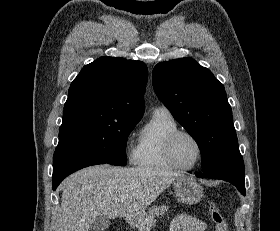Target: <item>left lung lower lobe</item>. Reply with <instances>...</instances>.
Returning <instances> with one entry per match:
<instances>
[{
    "label": "left lung lower lobe",
    "instance_id": "left-lung-lower-lobe-1",
    "mask_svg": "<svg viewBox=\"0 0 280 231\" xmlns=\"http://www.w3.org/2000/svg\"><path fill=\"white\" fill-rule=\"evenodd\" d=\"M245 167L243 158L239 153L227 156L214 166L208 168L202 174H196L200 178H211L228 181L237 187L242 195H246L244 184Z\"/></svg>",
    "mask_w": 280,
    "mask_h": 231
}]
</instances>
